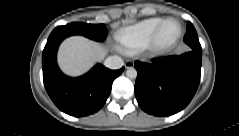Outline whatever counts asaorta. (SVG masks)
<instances>
[{
  "label": "aorta",
  "instance_id": "1",
  "mask_svg": "<svg viewBox=\"0 0 239 136\" xmlns=\"http://www.w3.org/2000/svg\"><path fill=\"white\" fill-rule=\"evenodd\" d=\"M126 76L130 79H135L137 77V71L135 68L130 67L126 71Z\"/></svg>",
  "mask_w": 239,
  "mask_h": 136
}]
</instances>
